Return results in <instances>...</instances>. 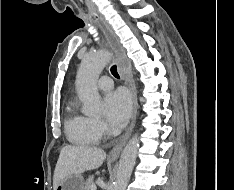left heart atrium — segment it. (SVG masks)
Segmentation results:
<instances>
[{
    "mask_svg": "<svg viewBox=\"0 0 234 190\" xmlns=\"http://www.w3.org/2000/svg\"><path fill=\"white\" fill-rule=\"evenodd\" d=\"M107 120L114 126L123 125L129 118L132 101L124 89H117L106 94L104 98Z\"/></svg>",
    "mask_w": 234,
    "mask_h": 190,
    "instance_id": "1",
    "label": "left heart atrium"
}]
</instances>
